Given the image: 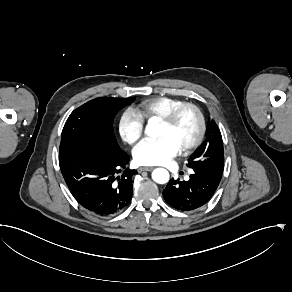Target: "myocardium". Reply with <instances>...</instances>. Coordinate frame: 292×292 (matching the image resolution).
<instances>
[{
	"mask_svg": "<svg viewBox=\"0 0 292 292\" xmlns=\"http://www.w3.org/2000/svg\"><path fill=\"white\" fill-rule=\"evenodd\" d=\"M187 109L192 110L195 113L198 124H197V131L194 138L190 142L181 146V150L183 152H188L198 147L203 140L206 125H205V119H204L202 111L195 104L184 102L173 107L165 115L160 117V121L163 122L164 124L173 125L178 119V117L180 116V114L184 110H187Z\"/></svg>",
	"mask_w": 292,
	"mask_h": 292,
	"instance_id": "obj_1",
	"label": "myocardium"
}]
</instances>
